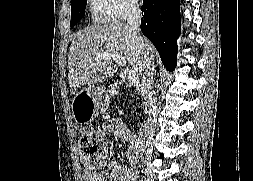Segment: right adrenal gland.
Segmentation results:
<instances>
[{
    "label": "right adrenal gland",
    "mask_w": 253,
    "mask_h": 181,
    "mask_svg": "<svg viewBox=\"0 0 253 181\" xmlns=\"http://www.w3.org/2000/svg\"><path fill=\"white\" fill-rule=\"evenodd\" d=\"M156 75V69L155 66L152 67V71H151V77L153 78V76Z\"/></svg>",
    "instance_id": "2a0ac1e0"
}]
</instances>
